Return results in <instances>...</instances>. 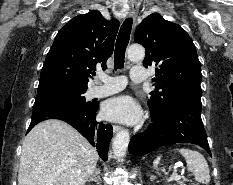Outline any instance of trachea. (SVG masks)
Here are the masks:
<instances>
[{"label":"trachea","mask_w":233,"mask_h":185,"mask_svg":"<svg viewBox=\"0 0 233 185\" xmlns=\"http://www.w3.org/2000/svg\"><path fill=\"white\" fill-rule=\"evenodd\" d=\"M133 19L127 18L119 31L116 45H115V51H114V62L115 66L114 69H121L124 66V59H125V51L127 48V45L129 43L131 29H132Z\"/></svg>","instance_id":"obj_1"}]
</instances>
